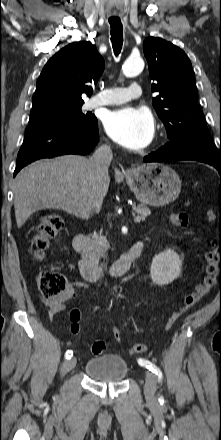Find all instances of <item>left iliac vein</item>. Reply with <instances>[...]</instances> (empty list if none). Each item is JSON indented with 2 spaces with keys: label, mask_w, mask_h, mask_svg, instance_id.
I'll return each instance as SVG.
<instances>
[{
  "label": "left iliac vein",
  "mask_w": 221,
  "mask_h": 440,
  "mask_svg": "<svg viewBox=\"0 0 221 440\" xmlns=\"http://www.w3.org/2000/svg\"><path fill=\"white\" fill-rule=\"evenodd\" d=\"M157 388V379L154 373L146 371L144 393L147 399H153Z\"/></svg>",
  "instance_id": "4c4485c4"
}]
</instances>
